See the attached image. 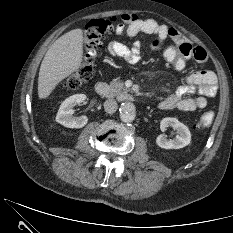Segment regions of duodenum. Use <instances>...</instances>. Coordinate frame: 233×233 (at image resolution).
<instances>
[{"mask_svg": "<svg viewBox=\"0 0 233 233\" xmlns=\"http://www.w3.org/2000/svg\"><path fill=\"white\" fill-rule=\"evenodd\" d=\"M95 91L101 97H109L111 95V90L109 86L104 82L96 83ZM122 97L126 101H133V97L129 93H123Z\"/></svg>", "mask_w": 233, "mask_h": 233, "instance_id": "410a0bca", "label": "duodenum"}]
</instances>
